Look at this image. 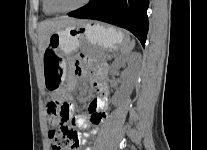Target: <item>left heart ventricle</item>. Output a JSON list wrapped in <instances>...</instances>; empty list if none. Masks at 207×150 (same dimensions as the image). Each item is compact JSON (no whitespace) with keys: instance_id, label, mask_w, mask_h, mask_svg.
I'll return each instance as SVG.
<instances>
[{"instance_id":"b2bd125f","label":"left heart ventricle","mask_w":207,"mask_h":150,"mask_svg":"<svg viewBox=\"0 0 207 150\" xmlns=\"http://www.w3.org/2000/svg\"><path fill=\"white\" fill-rule=\"evenodd\" d=\"M83 0H54L56 7L59 9H70L79 5Z\"/></svg>"}]
</instances>
